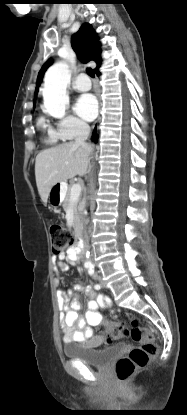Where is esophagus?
<instances>
[{
    "label": "esophagus",
    "mask_w": 187,
    "mask_h": 415,
    "mask_svg": "<svg viewBox=\"0 0 187 415\" xmlns=\"http://www.w3.org/2000/svg\"><path fill=\"white\" fill-rule=\"evenodd\" d=\"M100 121V117L98 118V120L95 122V124L93 125L91 134H90V141H93L98 133V122Z\"/></svg>",
    "instance_id": "34e87169"
}]
</instances>
